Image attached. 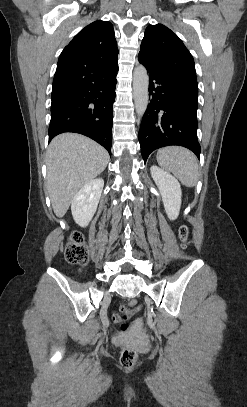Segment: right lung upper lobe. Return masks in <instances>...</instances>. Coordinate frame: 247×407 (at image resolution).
<instances>
[{"instance_id": "right-lung-upper-lobe-1", "label": "right lung upper lobe", "mask_w": 247, "mask_h": 407, "mask_svg": "<svg viewBox=\"0 0 247 407\" xmlns=\"http://www.w3.org/2000/svg\"><path fill=\"white\" fill-rule=\"evenodd\" d=\"M117 42L108 21H95L82 29L58 59L52 93L69 89L92 72L117 63Z\"/></svg>"}]
</instances>
